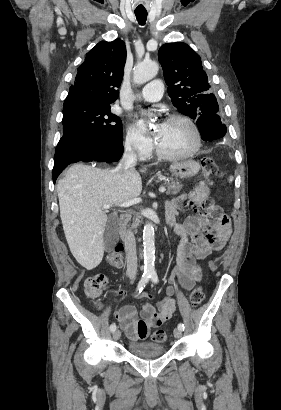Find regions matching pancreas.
Returning <instances> with one entry per match:
<instances>
[{
	"label": "pancreas",
	"mask_w": 281,
	"mask_h": 410,
	"mask_svg": "<svg viewBox=\"0 0 281 410\" xmlns=\"http://www.w3.org/2000/svg\"><path fill=\"white\" fill-rule=\"evenodd\" d=\"M164 186L167 187V194H177L180 192L182 185L180 184V182L174 178H170L168 181L164 182ZM142 216L139 214H136L133 217V223H132V227L136 228L139 223L141 222Z\"/></svg>",
	"instance_id": "1"
}]
</instances>
